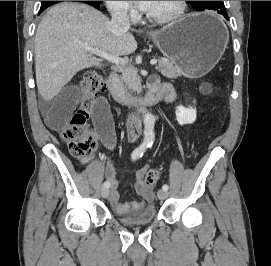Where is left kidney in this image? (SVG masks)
<instances>
[{
	"instance_id": "left-kidney-1",
	"label": "left kidney",
	"mask_w": 271,
	"mask_h": 266,
	"mask_svg": "<svg viewBox=\"0 0 271 266\" xmlns=\"http://www.w3.org/2000/svg\"><path fill=\"white\" fill-rule=\"evenodd\" d=\"M176 119L180 125L192 124L197 117L196 108H186L182 105L178 106L175 111Z\"/></svg>"
}]
</instances>
